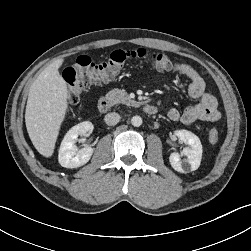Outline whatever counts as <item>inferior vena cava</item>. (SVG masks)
Listing matches in <instances>:
<instances>
[{"mask_svg": "<svg viewBox=\"0 0 251 251\" xmlns=\"http://www.w3.org/2000/svg\"><path fill=\"white\" fill-rule=\"evenodd\" d=\"M105 123L109 126H114L120 121V115L115 112H111L105 115Z\"/></svg>", "mask_w": 251, "mask_h": 251, "instance_id": "602c4592", "label": "inferior vena cava"}]
</instances>
